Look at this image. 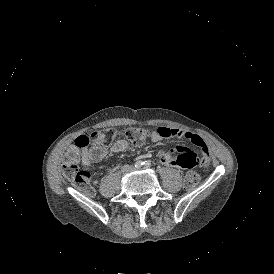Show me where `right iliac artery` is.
I'll return each mask as SVG.
<instances>
[{"mask_svg":"<svg viewBox=\"0 0 274 274\" xmlns=\"http://www.w3.org/2000/svg\"><path fill=\"white\" fill-rule=\"evenodd\" d=\"M143 164H144V162L139 160V161L135 162L134 166H135V168H140V167H142Z\"/></svg>","mask_w":274,"mask_h":274,"instance_id":"right-iliac-artery-1","label":"right iliac artery"}]
</instances>
